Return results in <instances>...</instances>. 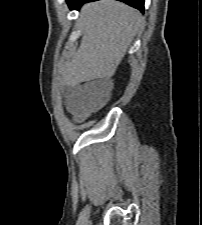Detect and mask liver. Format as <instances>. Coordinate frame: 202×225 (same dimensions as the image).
<instances>
[{
  "mask_svg": "<svg viewBox=\"0 0 202 225\" xmlns=\"http://www.w3.org/2000/svg\"><path fill=\"white\" fill-rule=\"evenodd\" d=\"M142 23L141 13L122 2L85 4L80 15L82 40L63 70L65 84L112 77Z\"/></svg>",
  "mask_w": 202,
  "mask_h": 225,
  "instance_id": "6515ba94",
  "label": "liver"
}]
</instances>
